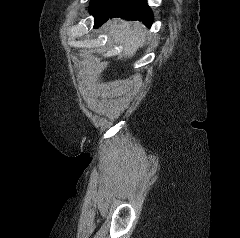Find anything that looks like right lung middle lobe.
I'll use <instances>...</instances> for the list:
<instances>
[{"label": "right lung middle lobe", "instance_id": "1", "mask_svg": "<svg viewBox=\"0 0 240 238\" xmlns=\"http://www.w3.org/2000/svg\"><path fill=\"white\" fill-rule=\"evenodd\" d=\"M124 2L125 0H91L89 9L95 17V26L104 17L116 11Z\"/></svg>", "mask_w": 240, "mask_h": 238}]
</instances>
